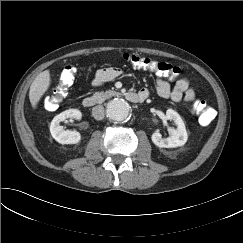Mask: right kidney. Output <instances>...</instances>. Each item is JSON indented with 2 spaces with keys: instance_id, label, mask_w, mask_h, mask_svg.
Returning a JSON list of instances; mask_svg holds the SVG:
<instances>
[{
  "instance_id": "1",
  "label": "right kidney",
  "mask_w": 243,
  "mask_h": 243,
  "mask_svg": "<svg viewBox=\"0 0 243 243\" xmlns=\"http://www.w3.org/2000/svg\"><path fill=\"white\" fill-rule=\"evenodd\" d=\"M81 112L77 109H69L56 115L51 124L50 132L52 137L60 144H77L81 140V135L77 131L64 130L60 126V122L65 121L67 118L81 119Z\"/></svg>"
}]
</instances>
